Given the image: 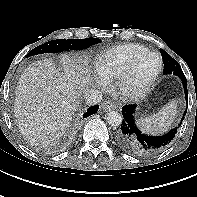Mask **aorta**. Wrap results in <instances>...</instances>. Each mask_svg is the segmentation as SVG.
<instances>
[{"mask_svg":"<svg viewBox=\"0 0 197 197\" xmlns=\"http://www.w3.org/2000/svg\"><path fill=\"white\" fill-rule=\"evenodd\" d=\"M107 123L112 127H117L122 123V116L117 111H110L106 117Z\"/></svg>","mask_w":197,"mask_h":197,"instance_id":"aorta-1","label":"aorta"}]
</instances>
